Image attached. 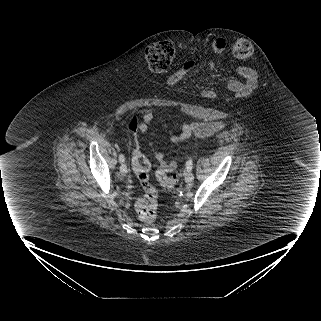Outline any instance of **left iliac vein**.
Masks as SVG:
<instances>
[{
	"mask_svg": "<svg viewBox=\"0 0 321 321\" xmlns=\"http://www.w3.org/2000/svg\"><path fill=\"white\" fill-rule=\"evenodd\" d=\"M193 180H194V175H193L192 171L191 170H187L185 172V181H186V183L187 184H192Z\"/></svg>",
	"mask_w": 321,
	"mask_h": 321,
	"instance_id": "obj_1",
	"label": "left iliac vein"
}]
</instances>
